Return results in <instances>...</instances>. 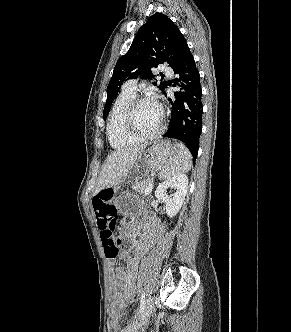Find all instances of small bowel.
<instances>
[{
  "instance_id": "c3829d8e",
  "label": "small bowel",
  "mask_w": 291,
  "mask_h": 332,
  "mask_svg": "<svg viewBox=\"0 0 291 332\" xmlns=\"http://www.w3.org/2000/svg\"><path fill=\"white\" fill-rule=\"evenodd\" d=\"M102 191L112 192L110 188H105ZM160 234V226L153 220L147 221L144 225L127 224L123 221L118 243L121 245L120 257L128 258V262L125 268H118L116 271L111 293V299L115 308H126L133 298L140 260L158 240ZM136 236L139 237L138 241L135 238ZM131 245H135L132 256H130L129 252V246Z\"/></svg>"
}]
</instances>
